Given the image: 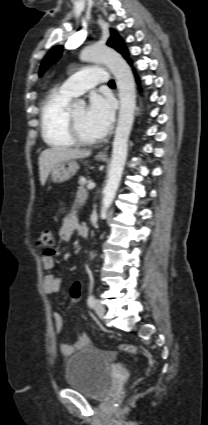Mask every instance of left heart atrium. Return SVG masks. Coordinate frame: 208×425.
Listing matches in <instances>:
<instances>
[{
    "mask_svg": "<svg viewBox=\"0 0 208 425\" xmlns=\"http://www.w3.org/2000/svg\"><path fill=\"white\" fill-rule=\"evenodd\" d=\"M114 119V109L109 98L93 95L86 110V122L98 136H104L111 128Z\"/></svg>",
    "mask_w": 208,
    "mask_h": 425,
    "instance_id": "39dd6f15",
    "label": "left heart atrium"
}]
</instances>
